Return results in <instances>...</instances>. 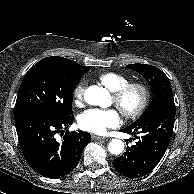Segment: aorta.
<instances>
[{"instance_id":"obj_1","label":"aorta","mask_w":194,"mask_h":194,"mask_svg":"<svg viewBox=\"0 0 194 194\" xmlns=\"http://www.w3.org/2000/svg\"><path fill=\"white\" fill-rule=\"evenodd\" d=\"M109 92L99 86H90L84 93V99L88 104L103 106L108 100ZM124 150V143L119 139H112L108 144V151L111 154L119 155Z\"/></svg>"}]
</instances>
